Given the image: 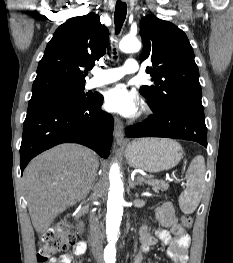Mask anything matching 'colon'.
Listing matches in <instances>:
<instances>
[{
    "label": "colon",
    "instance_id": "colon-1",
    "mask_svg": "<svg viewBox=\"0 0 233 263\" xmlns=\"http://www.w3.org/2000/svg\"><path fill=\"white\" fill-rule=\"evenodd\" d=\"M183 228L189 229L192 225V218L183 215L180 218ZM76 245V237L70 230L67 221L59 223L55 229L46 231L39 241L38 263H55L61 257L68 255L71 248Z\"/></svg>",
    "mask_w": 233,
    "mask_h": 263
}]
</instances>
